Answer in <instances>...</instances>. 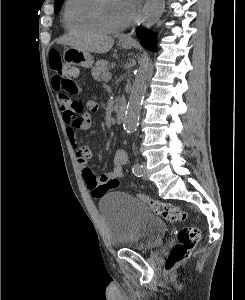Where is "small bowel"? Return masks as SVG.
I'll list each match as a JSON object with an SVG mask.
<instances>
[{"label": "small bowel", "mask_w": 245, "mask_h": 300, "mask_svg": "<svg viewBox=\"0 0 245 300\" xmlns=\"http://www.w3.org/2000/svg\"><path fill=\"white\" fill-rule=\"evenodd\" d=\"M52 86L56 92L57 102L67 124L66 133L72 144L79 166L82 169V176L90 189L93 197L101 198L111 190L118 188L123 177V166L127 163L128 156L123 149L114 152L113 167L110 171L97 176L89 166L92 151L87 143L80 140L79 132L88 130L92 126V114L98 112V104L94 100L83 102V107L78 109L74 106L67 93L77 94L81 88L78 84L74 92L63 88L57 77H53Z\"/></svg>", "instance_id": "obj_1"}]
</instances>
